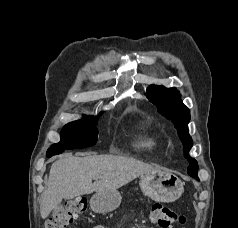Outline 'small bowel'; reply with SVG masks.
<instances>
[{
	"mask_svg": "<svg viewBox=\"0 0 238 228\" xmlns=\"http://www.w3.org/2000/svg\"><path fill=\"white\" fill-rule=\"evenodd\" d=\"M92 228H104V227L101 225H94Z\"/></svg>",
	"mask_w": 238,
	"mask_h": 228,
	"instance_id": "1",
	"label": "small bowel"
}]
</instances>
